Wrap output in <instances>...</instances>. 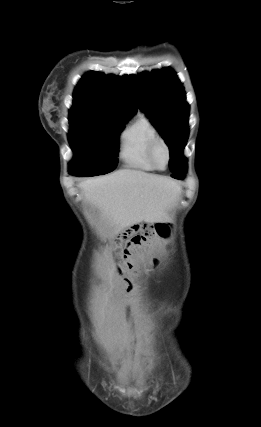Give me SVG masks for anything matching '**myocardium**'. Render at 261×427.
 <instances>
[{"instance_id": "f54148a6", "label": "myocardium", "mask_w": 261, "mask_h": 427, "mask_svg": "<svg viewBox=\"0 0 261 427\" xmlns=\"http://www.w3.org/2000/svg\"><path fill=\"white\" fill-rule=\"evenodd\" d=\"M159 148H163L167 156L166 164L163 167L157 164L156 155ZM149 159L156 170L164 171L169 166L171 162V150L168 143L162 137H157L151 142L149 146Z\"/></svg>"}]
</instances>
